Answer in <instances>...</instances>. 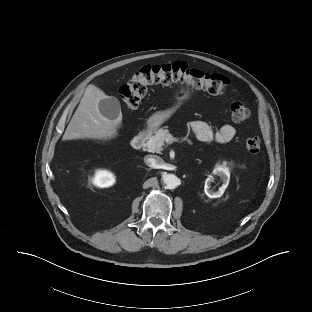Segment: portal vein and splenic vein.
Masks as SVG:
<instances>
[{"instance_id":"18ae733b","label":"portal vein and splenic vein","mask_w":312,"mask_h":312,"mask_svg":"<svg viewBox=\"0 0 312 312\" xmlns=\"http://www.w3.org/2000/svg\"><path fill=\"white\" fill-rule=\"evenodd\" d=\"M173 139H174L173 136L169 134L168 137L166 138V141L171 143L173 142Z\"/></svg>"}]
</instances>
